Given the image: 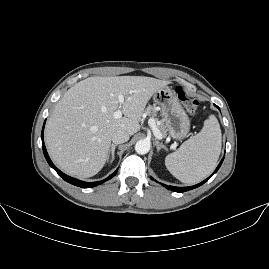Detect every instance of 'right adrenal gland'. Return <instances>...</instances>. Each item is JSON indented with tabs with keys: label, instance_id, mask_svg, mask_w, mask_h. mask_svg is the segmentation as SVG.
<instances>
[{
	"label": "right adrenal gland",
	"instance_id": "2a0ac1e0",
	"mask_svg": "<svg viewBox=\"0 0 269 269\" xmlns=\"http://www.w3.org/2000/svg\"><path fill=\"white\" fill-rule=\"evenodd\" d=\"M118 145L117 144H112L111 148H110V151H109V161L108 163H112L113 162V157H114V151H115V148L117 147Z\"/></svg>",
	"mask_w": 269,
	"mask_h": 269
}]
</instances>
